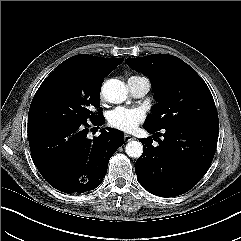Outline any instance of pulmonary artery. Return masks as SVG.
I'll use <instances>...</instances> for the list:
<instances>
[{
    "label": "pulmonary artery",
    "instance_id": "pulmonary-artery-1",
    "mask_svg": "<svg viewBox=\"0 0 241 241\" xmlns=\"http://www.w3.org/2000/svg\"><path fill=\"white\" fill-rule=\"evenodd\" d=\"M127 84L131 93L136 97H143L150 90V82L144 77H131Z\"/></svg>",
    "mask_w": 241,
    "mask_h": 241
}]
</instances>
